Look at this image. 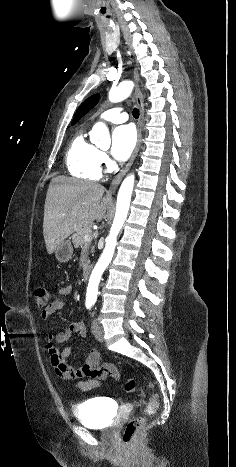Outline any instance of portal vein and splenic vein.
<instances>
[{
    "label": "portal vein and splenic vein",
    "mask_w": 236,
    "mask_h": 467,
    "mask_svg": "<svg viewBox=\"0 0 236 467\" xmlns=\"http://www.w3.org/2000/svg\"><path fill=\"white\" fill-rule=\"evenodd\" d=\"M92 238H93V236H92V235H85V237H84V241H85V242H89V241H91V240H92Z\"/></svg>",
    "instance_id": "portal-vein-and-splenic-vein-1"
}]
</instances>
